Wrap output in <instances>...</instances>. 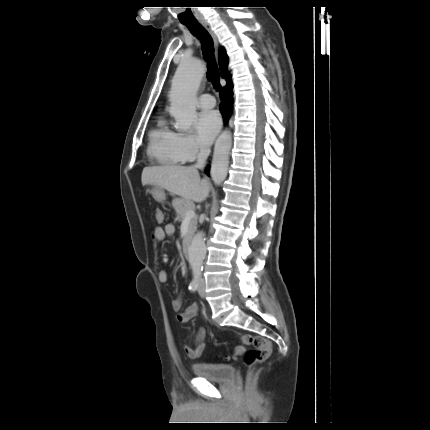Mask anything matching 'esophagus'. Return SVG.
<instances>
[{
    "label": "esophagus",
    "mask_w": 430,
    "mask_h": 430,
    "mask_svg": "<svg viewBox=\"0 0 430 430\" xmlns=\"http://www.w3.org/2000/svg\"><path fill=\"white\" fill-rule=\"evenodd\" d=\"M202 26L208 31V33L211 35L213 42H214V46L215 49L218 50L219 47V43H218V39L216 34L214 33L213 29L211 28V26L209 25V23L207 22H201Z\"/></svg>",
    "instance_id": "34e87169"
}]
</instances>
